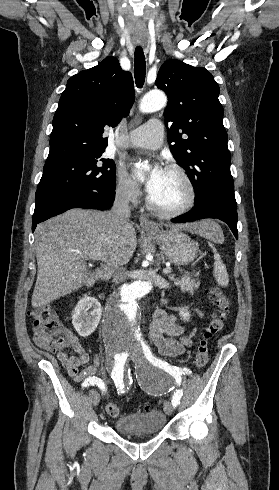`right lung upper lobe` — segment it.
Listing matches in <instances>:
<instances>
[{"mask_svg":"<svg viewBox=\"0 0 279 490\" xmlns=\"http://www.w3.org/2000/svg\"><path fill=\"white\" fill-rule=\"evenodd\" d=\"M134 98L132 75L121 69L115 57L72 76L53 118L46 162L105 150L104 126H117Z\"/></svg>","mask_w":279,"mask_h":490,"instance_id":"obj_1","label":"right lung upper lobe"}]
</instances>
